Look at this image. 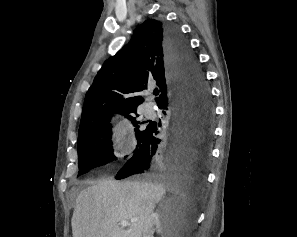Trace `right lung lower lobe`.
<instances>
[{"instance_id":"98d812e1","label":"right lung lower lobe","mask_w":297,"mask_h":237,"mask_svg":"<svg viewBox=\"0 0 297 237\" xmlns=\"http://www.w3.org/2000/svg\"><path fill=\"white\" fill-rule=\"evenodd\" d=\"M165 50L172 88L158 106L168 114L166 135L159 139L157 125L150 124L132 158L115 176L117 180L141 173L207 171L213 108L205 78L177 26L165 24Z\"/></svg>"}]
</instances>
